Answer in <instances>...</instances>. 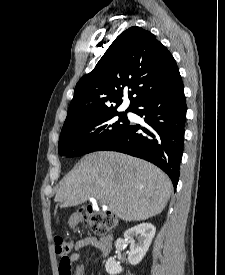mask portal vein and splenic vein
<instances>
[{
    "mask_svg": "<svg viewBox=\"0 0 225 275\" xmlns=\"http://www.w3.org/2000/svg\"><path fill=\"white\" fill-rule=\"evenodd\" d=\"M90 201H95V199L94 198H90Z\"/></svg>",
    "mask_w": 225,
    "mask_h": 275,
    "instance_id": "18ae733b",
    "label": "portal vein and splenic vein"
}]
</instances>
